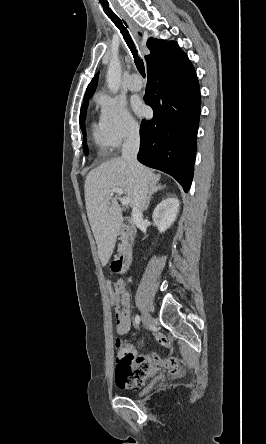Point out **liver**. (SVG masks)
Here are the masks:
<instances>
[{
    "label": "liver",
    "mask_w": 266,
    "mask_h": 444,
    "mask_svg": "<svg viewBox=\"0 0 266 444\" xmlns=\"http://www.w3.org/2000/svg\"><path fill=\"white\" fill-rule=\"evenodd\" d=\"M142 166V165H141ZM150 190L160 180V175L142 166ZM136 178L123 158H113L91 170L85 180V203L89 223L97 243L102 266L111 258L122 224V211L110 190L121 188L134 205Z\"/></svg>",
    "instance_id": "liver-1"
}]
</instances>
